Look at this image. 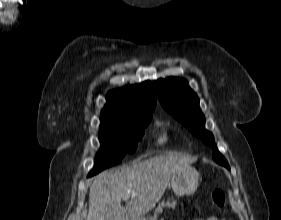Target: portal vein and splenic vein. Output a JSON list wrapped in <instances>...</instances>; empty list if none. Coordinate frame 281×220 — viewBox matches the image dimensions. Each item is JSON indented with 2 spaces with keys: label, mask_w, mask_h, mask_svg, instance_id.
Here are the masks:
<instances>
[{
  "label": "portal vein and splenic vein",
  "mask_w": 281,
  "mask_h": 220,
  "mask_svg": "<svg viewBox=\"0 0 281 220\" xmlns=\"http://www.w3.org/2000/svg\"><path fill=\"white\" fill-rule=\"evenodd\" d=\"M130 193L133 194V192L128 191V194H130ZM127 198H128V196H125V197H124V199H127Z\"/></svg>",
  "instance_id": "portal-vein-and-splenic-vein-1"
}]
</instances>
